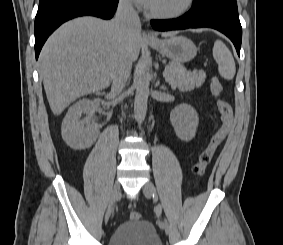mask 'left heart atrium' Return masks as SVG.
I'll return each mask as SVG.
<instances>
[{"label":"left heart atrium","instance_id":"1","mask_svg":"<svg viewBox=\"0 0 283 245\" xmlns=\"http://www.w3.org/2000/svg\"><path fill=\"white\" fill-rule=\"evenodd\" d=\"M137 4L146 7V8H150V6L153 3V0H134Z\"/></svg>","mask_w":283,"mask_h":245}]
</instances>
